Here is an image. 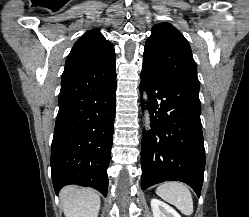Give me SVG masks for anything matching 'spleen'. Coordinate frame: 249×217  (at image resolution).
<instances>
[{
    "label": "spleen",
    "instance_id": "spleen-1",
    "mask_svg": "<svg viewBox=\"0 0 249 217\" xmlns=\"http://www.w3.org/2000/svg\"><path fill=\"white\" fill-rule=\"evenodd\" d=\"M156 193L167 202L175 205L184 215L193 213L192 194L182 182H165L159 185Z\"/></svg>",
    "mask_w": 249,
    "mask_h": 217
}]
</instances>
